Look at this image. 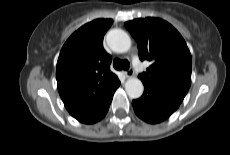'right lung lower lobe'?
<instances>
[{"label": "right lung lower lobe", "instance_id": "1", "mask_svg": "<svg viewBox=\"0 0 230 155\" xmlns=\"http://www.w3.org/2000/svg\"><path fill=\"white\" fill-rule=\"evenodd\" d=\"M120 85V81L116 84L113 93L111 94V96L109 97V99H107L102 105H100L99 107L90 110L80 116L75 117L78 121L85 123V124H92L95 123L99 120H101L102 118H104V116L106 115L110 103L112 101L113 98V94L115 92V90L119 87Z\"/></svg>", "mask_w": 230, "mask_h": 155}]
</instances>
